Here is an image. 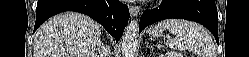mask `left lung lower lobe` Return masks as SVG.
<instances>
[{"label":"left lung lower lobe","instance_id":"obj_1","mask_svg":"<svg viewBox=\"0 0 249 57\" xmlns=\"http://www.w3.org/2000/svg\"><path fill=\"white\" fill-rule=\"evenodd\" d=\"M169 18L198 22L218 40V15L214 0H163L159 8L146 10L140 19L139 32L146 26Z\"/></svg>","mask_w":249,"mask_h":57}]
</instances>
